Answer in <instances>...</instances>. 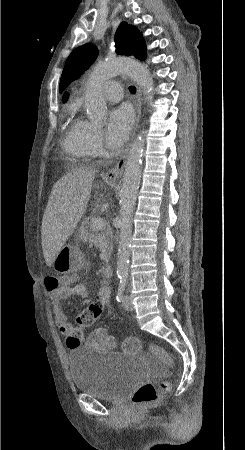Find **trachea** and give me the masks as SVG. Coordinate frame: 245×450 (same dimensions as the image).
Wrapping results in <instances>:
<instances>
[{"instance_id":"1","label":"trachea","mask_w":245,"mask_h":450,"mask_svg":"<svg viewBox=\"0 0 245 450\" xmlns=\"http://www.w3.org/2000/svg\"><path fill=\"white\" fill-rule=\"evenodd\" d=\"M129 90L131 93L135 94L136 93V88L134 86H130Z\"/></svg>"}]
</instances>
